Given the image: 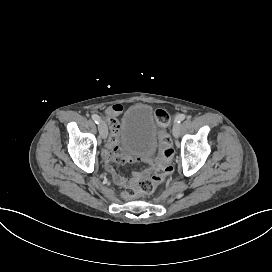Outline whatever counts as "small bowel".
I'll use <instances>...</instances> for the list:
<instances>
[{"label": "small bowel", "mask_w": 272, "mask_h": 272, "mask_svg": "<svg viewBox=\"0 0 272 272\" xmlns=\"http://www.w3.org/2000/svg\"><path fill=\"white\" fill-rule=\"evenodd\" d=\"M123 107L119 104L112 105L105 110V120L110 129V136L106 144V148L103 151V159L105 161V169L110 173L108 169V163L110 159L119 157L127 163H131L137 160L136 157L124 154L120 151V137H121V124L118 120V116L121 114ZM113 176L115 183L118 184V176L110 173Z\"/></svg>", "instance_id": "1"}]
</instances>
